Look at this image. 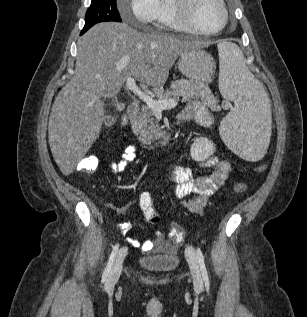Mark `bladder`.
<instances>
[{
	"label": "bladder",
	"instance_id": "bladder-1",
	"mask_svg": "<svg viewBox=\"0 0 307 317\" xmlns=\"http://www.w3.org/2000/svg\"><path fill=\"white\" fill-rule=\"evenodd\" d=\"M179 259L176 254L163 256H141L138 264L146 270L156 272H167L174 270L178 265Z\"/></svg>",
	"mask_w": 307,
	"mask_h": 317
}]
</instances>
